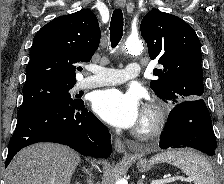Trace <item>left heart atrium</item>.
<instances>
[{"mask_svg":"<svg viewBox=\"0 0 224 184\" xmlns=\"http://www.w3.org/2000/svg\"><path fill=\"white\" fill-rule=\"evenodd\" d=\"M94 111L107 123L119 128H132L141 118L140 98L118 89L98 92L93 99Z\"/></svg>","mask_w":224,"mask_h":184,"instance_id":"obj_1","label":"left heart atrium"}]
</instances>
